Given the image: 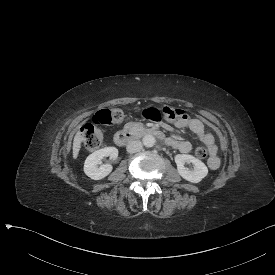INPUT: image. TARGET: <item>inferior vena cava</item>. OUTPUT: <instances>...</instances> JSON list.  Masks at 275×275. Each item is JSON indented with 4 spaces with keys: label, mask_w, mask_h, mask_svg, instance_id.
I'll return each instance as SVG.
<instances>
[{
    "label": "inferior vena cava",
    "mask_w": 275,
    "mask_h": 275,
    "mask_svg": "<svg viewBox=\"0 0 275 275\" xmlns=\"http://www.w3.org/2000/svg\"><path fill=\"white\" fill-rule=\"evenodd\" d=\"M126 149L129 153L139 152L142 149V143L139 140L131 141L128 143Z\"/></svg>",
    "instance_id": "602c4592"
}]
</instances>
